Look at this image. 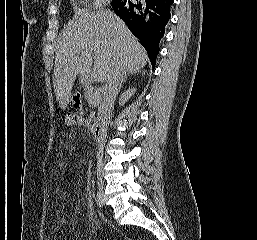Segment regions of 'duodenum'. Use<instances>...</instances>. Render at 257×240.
<instances>
[{
	"instance_id": "410a0bca",
	"label": "duodenum",
	"mask_w": 257,
	"mask_h": 240,
	"mask_svg": "<svg viewBox=\"0 0 257 240\" xmlns=\"http://www.w3.org/2000/svg\"><path fill=\"white\" fill-rule=\"evenodd\" d=\"M92 134L97 145H102L105 135L106 128L104 123L100 119H96L92 124Z\"/></svg>"
}]
</instances>
